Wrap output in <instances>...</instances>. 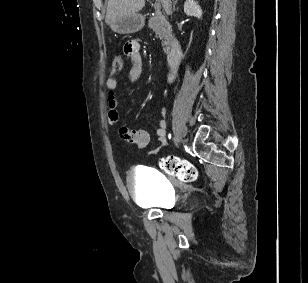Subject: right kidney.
Wrapping results in <instances>:
<instances>
[{"label":"right kidney","mask_w":308,"mask_h":283,"mask_svg":"<svg viewBox=\"0 0 308 283\" xmlns=\"http://www.w3.org/2000/svg\"><path fill=\"white\" fill-rule=\"evenodd\" d=\"M184 12L188 16H195L199 19L202 17L201 7L195 0H186L184 3Z\"/></svg>","instance_id":"right-kidney-1"}]
</instances>
